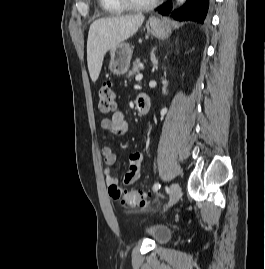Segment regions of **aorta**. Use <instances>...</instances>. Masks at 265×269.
Returning <instances> with one entry per match:
<instances>
[{
  "label": "aorta",
  "instance_id": "762f6f07",
  "mask_svg": "<svg viewBox=\"0 0 265 269\" xmlns=\"http://www.w3.org/2000/svg\"><path fill=\"white\" fill-rule=\"evenodd\" d=\"M186 0H177L178 5H182Z\"/></svg>",
  "mask_w": 265,
  "mask_h": 269
}]
</instances>
